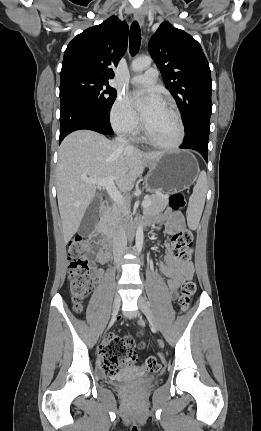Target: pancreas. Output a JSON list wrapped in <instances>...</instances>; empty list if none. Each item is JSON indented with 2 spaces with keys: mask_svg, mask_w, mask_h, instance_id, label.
<instances>
[{
  "mask_svg": "<svg viewBox=\"0 0 261 431\" xmlns=\"http://www.w3.org/2000/svg\"><path fill=\"white\" fill-rule=\"evenodd\" d=\"M145 200H149L151 205L144 209V213L151 214L164 210L169 203V196L163 194H151L148 195ZM128 214L129 211L126 208L116 205L113 206L110 208L106 217L107 226L113 230L119 221L126 218Z\"/></svg>",
  "mask_w": 261,
  "mask_h": 431,
  "instance_id": "cf45deb5",
  "label": "pancreas"
}]
</instances>
